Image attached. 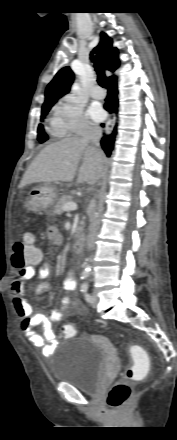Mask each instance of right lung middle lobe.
Instances as JSON below:
<instances>
[{
    "label": "right lung middle lobe",
    "instance_id": "obj_1",
    "mask_svg": "<svg viewBox=\"0 0 177 440\" xmlns=\"http://www.w3.org/2000/svg\"><path fill=\"white\" fill-rule=\"evenodd\" d=\"M55 102H47L44 103L42 106V112H41V121L44 120L47 113L50 111L51 107L54 105ZM41 143L45 142L48 139V136L44 132V128L42 124H39L38 126V138Z\"/></svg>",
    "mask_w": 177,
    "mask_h": 440
}]
</instances>
